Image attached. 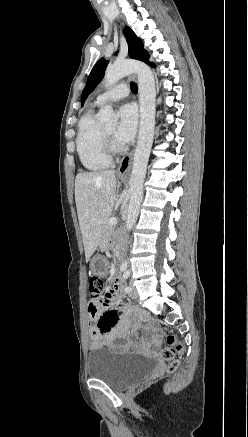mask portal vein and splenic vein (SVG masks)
I'll list each match as a JSON object with an SVG mask.
<instances>
[{
  "mask_svg": "<svg viewBox=\"0 0 248 437\" xmlns=\"http://www.w3.org/2000/svg\"><path fill=\"white\" fill-rule=\"evenodd\" d=\"M117 222H118V219L115 218V217L110 218V219L108 220V223H109L110 225L116 224Z\"/></svg>",
  "mask_w": 248,
  "mask_h": 437,
  "instance_id": "18ae733b",
  "label": "portal vein and splenic vein"
}]
</instances>
